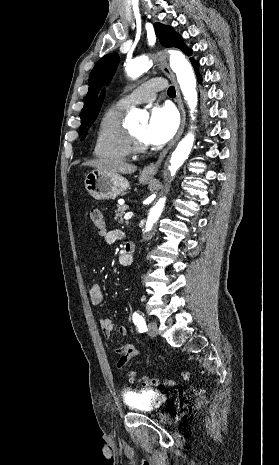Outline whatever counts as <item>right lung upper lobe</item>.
I'll list each match as a JSON object with an SVG mask.
<instances>
[{"label": "right lung upper lobe", "mask_w": 279, "mask_h": 465, "mask_svg": "<svg viewBox=\"0 0 279 465\" xmlns=\"http://www.w3.org/2000/svg\"><path fill=\"white\" fill-rule=\"evenodd\" d=\"M104 96H105V92L103 91L99 100H98V104L94 110V114H93V117H92V121L90 122V124H92V122L95 120V118L97 117V114L101 108V105H102V102H103V99H104Z\"/></svg>", "instance_id": "obj_1"}]
</instances>
